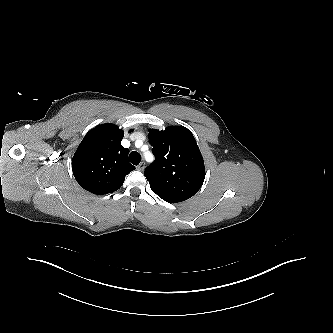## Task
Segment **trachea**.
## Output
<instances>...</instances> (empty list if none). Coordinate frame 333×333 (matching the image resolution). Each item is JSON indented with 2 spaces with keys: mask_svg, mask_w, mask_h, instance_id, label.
Wrapping results in <instances>:
<instances>
[{
  "mask_svg": "<svg viewBox=\"0 0 333 333\" xmlns=\"http://www.w3.org/2000/svg\"><path fill=\"white\" fill-rule=\"evenodd\" d=\"M129 160L133 165H138L141 161V155L136 151H132L129 155Z\"/></svg>",
  "mask_w": 333,
  "mask_h": 333,
  "instance_id": "obj_1",
  "label": "trachea"
}]
</instances>
